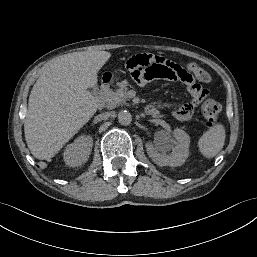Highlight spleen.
<instances>
[{"instance_id": "spleen-1", "label": "spleen", "mask_w": 257, "mask_h": 257, "mask_svg": "<svg viewBox=\"0 0 257 257\" xmlns=\"http://www.w3.org/2000/svg\"><path fill=\"white\" fill-rule=\"evenodd\" d=\"M225 127L221 123L214 124L199 139L198 147L206 158H212L223 148Z\"/></svg>"}]
</instances>
